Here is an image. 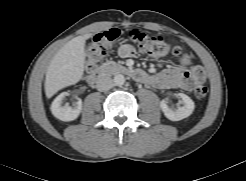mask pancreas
<instances>
[{
    "label": "pancreas",
    "instance_id": "1",
    "mask_svg": "<svg viewBox=\"0 0 246 181\" xmlns=\"http://www.w3.org/2000/svg\"><path fill=\"white\" fill-rule=\"evenodd\" d=\"M113 66H117V64L115 62H110Z\"/></svg>",
    "mask_w": 246,
    "mask_h": 181
}]
</instances>
